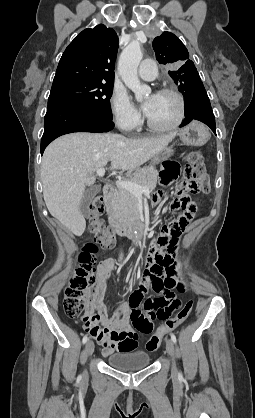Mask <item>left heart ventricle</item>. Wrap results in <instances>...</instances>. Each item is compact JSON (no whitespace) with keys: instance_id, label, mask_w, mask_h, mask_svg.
Wrapping results in <instances>:
<instances>
[{"instance_id":"1","label":"left heart ventricle","mask_w":255,"mask_h":418,"mask_svg":"<svg viewBox=\"0 0 255 418\" xmlns=\"http://www.w3.org/2000/svg\"><path fill=\"white\" fill-rule=\"evenodd\" d=\"M178 113L179 103L173 95L157 94L147 116L154 124L167 126L176 120Z\"/></svg>"}]
</instances>
